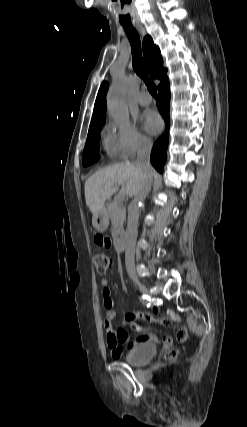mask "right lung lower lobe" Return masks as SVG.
Masks as SVG:
<instances>
[{"mask_svg": "<svg viewBox=\"0 0 247 427\" xmlns=\"http://www.w3.org/2000/svg\"><path fill=\"white\" fill-rule=\"evenodd\" d=\"M159 100L157 101V107L164 118L166 129L164 134L158 138L155 142L151 152V163L152 165L161 172L166 161V150L168 145L169 128H170V88L169 81L166 80L158 86Z\"/></svg>", "mask_w": 247, "mask_h": 427, "instance_id": "right-lung-lower-lobe-1", "label": "right lung lower lobe"}]
</instances>
